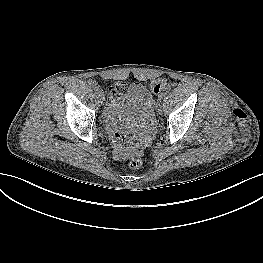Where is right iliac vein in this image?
<instances>
[{
	"label": "right iliac vein",
	"instance_id": "1",
	"mask_svg": "<svg viewBox=\"0 0 263 263\" xmlns=\"http://www.w3.org/2000/svg\"><path fill=\"white\" fill-rule=\"evenodd\" d=\"M98 96L99 98L102 100V101H105L107 99V96L106 94L102 91V92H99L98 93Z\"/></svg>",
	"mask_w": 263,
	"mask_h": 263
}]
</instances>
